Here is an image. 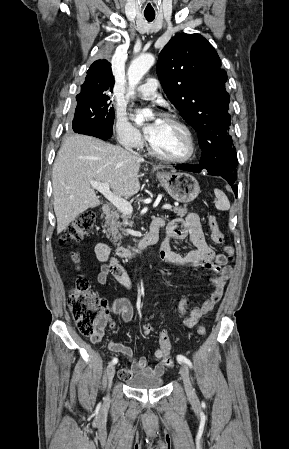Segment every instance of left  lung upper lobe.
<instances>
[{"mask_svg": "<svg viewBox=\"0 0 289 449\" xmlns=\"http://www.w3.org/2000/svg\"><path fill=\"white\" fill-rule=\"evenodd\" d=\"M213 46L200 34H177L160 52L157 75L171 103L198 133L200 162L218 174L236 173L231 144L226 72Z\"/></svg>", "mask_w": 289, "mask_h": 449, "instance_id": "left-lung-upper-lobe-1", "label": "left lung upper lobe"}]
</instances>
